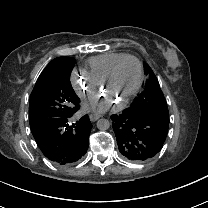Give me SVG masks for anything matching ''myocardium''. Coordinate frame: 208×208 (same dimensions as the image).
<instances>
[{
    "label": "myocardium",
    "mask_w": 208,
    "mask_h": 208,
    "mask_svg": "<svg viewBox=\"0 0 208 208\" xmlns=\"http://www.w3.org/2000/svg\"><path fill=\"white\" fill-rule=\"evenodd\" d=\"M127 59H131L136 62L138 69H139V79H138V82H137L136 86L134 87V89L125 98L118 100L117 104L119 107H122L126 103H128L134 96H136V94L141 89L144 79H145L144 66H143L142 62L137 57H135L133 55H124L122 58H120L119 60H117L114 63V65L111 67L108 74L99 83V87H100L101 91H106L105 87L113 80L115 72H116L117 68L119 67L120 63L123 62L124 60H127Z\"/></svg>",
    "instance_id": "myocardium-1"
}]
</instances>
